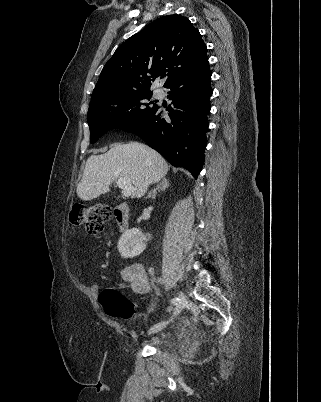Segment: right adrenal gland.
<instances>
[{
    "mask_svg": "<svg viewBox=\"0 0 321 402\" xmlns=\"http://www.w3.org/2000/svg\"><path fill=\"white\" fill-rule=\"evenodd\" d=\"M170 186V183L167 178H162V181L156 186L154 190L149 192L148 196L146 198H155L157 191L160 190H165Z\"/></svg>",
    "mask_w": 321,
    "mask_h": 402,
    "instance_id": "1",
    "label": "right adrenal gland"
}]
</instances>
